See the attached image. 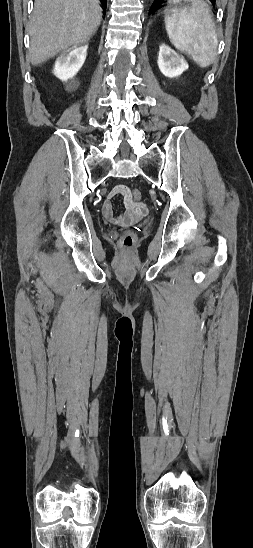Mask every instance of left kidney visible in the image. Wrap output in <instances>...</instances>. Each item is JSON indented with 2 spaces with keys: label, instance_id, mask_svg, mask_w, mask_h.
<instances>
[{
  "label": "left kidney",
  "instance_id": "obj_1",
  "mask_svg": "<svg viewBox=\"0 0 253 548\" xmlns=\"http://www.w3.org/2000/svg\"><path fill=\"white\" fill-rule=\"evenodd\" d=\"M158 67L164 76L174 78L187 70L188 64L182 56L169 46L161 44L159 46Z\"/></svg>",
  "mask_w": 253,
  "mask_h": 548
}]
</instances>
